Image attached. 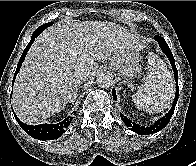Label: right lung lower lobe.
I'll return each instance as SVG.
<instances>
[{"instance_id":"right-lung-lower-lobe-1","label":"right lung lower lobe","mask_w":196,"mask_h":166,"mask_svg":"<svg viewBox=\"0 0 196 166\" xmlns=\"http://www.w3.org/2000/svg\"><path fill=\"white\" fill-rule=\"evenodd\" d=\"M42 32H34L31 38V41L29 42V44L26 46L25 50L23 51V54L18 62L17 65V69L16 72L14 74V79L12 82V85L14 83L16 74L18 73V71L20 70V67L25 59V56L29 50V48L31 47L32 43L34 42L35 38ZM17 122L19 123V125L21 126V128L27 133L29 134L31 137L35 138V139H39V140H54L59 138L65 131V129L70 125L71 121H72V117L68 116L67 118H65L63 121L57 123V124H40V125H36V126H32V125H26L24 123H22L17 116L14 114Z\"/></svg>"}]
</instances>
